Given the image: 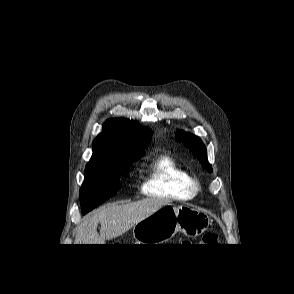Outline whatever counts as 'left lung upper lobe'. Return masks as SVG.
Instances as JSON below:
<instances>
[{"label": "left lung upper lobe", "mask_w": 294, "mask_h": 294, "mask_svg": "<svg viewBox=\"0 0 294 294\" xmlns=\"http://www.w3.org/2000/svg\"><path fill=\"white\" fill-rule=\"evenodd\" d=\"M177 140L192 150L204 169L212 172V166L207 161L206 147L199 137L190 133L178 131Z\"/></svg>", "instance_id": "5c2ea615"}]
</instances>
